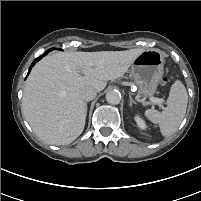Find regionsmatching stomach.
Returning a JSON list of instances; mask_svg holds the SVG:
<instances>
[{"label":"stomach","mask_w":201,"mask_h":201,"mask_svg":"<svg viewBox=\"0 0 201 201\" xmlns=\"http://www.w3.org/2000/svg\"><path fill=\"white\" fill-rule=\"evenodd\" d=\"M164 58L159 50H143L131 63V75L138 94L151 97L163 75Z\"/></svg>","instance_id":"obj_1"}]
</instances>
